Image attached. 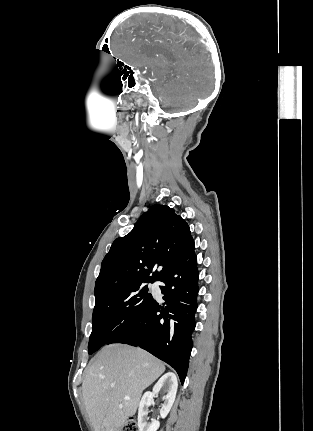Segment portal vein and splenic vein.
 I'll use <instances>...</instances> for the list:
<instances>
[{
	"mask_svg": "<svg viewBox=\"0 0 313 431\" xmlns=\"http://www.w3.org/2000/svg\"><path fill=\"white\" fill-rule=\"evenodd\" d=\"M126 400L130 399L129 397H125Z\"/></svg>",
	"mask_w": 313,
	"mask_h": 431,
	"instance_id": "1",
	"label": "portal vein and splenic vein"
}]
</instances>
